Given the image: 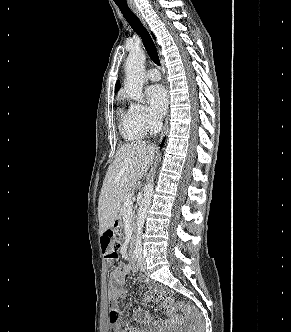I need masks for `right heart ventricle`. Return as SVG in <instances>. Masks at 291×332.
<instances>
[{
  "label": "right heart ventricle",
  "mask_w": 291,
  "mask_h": 332,
  "mask_svg": "<svg viewBox=\"0 0 291 332\" xmlns=\"http://www.w3.org/2000/svg\"><path fill=\"white\" fill-rule=\"evenodd\" d=\"M121 115V125H122V134L128 140H136L143 137L144 133L137 130L130 121L129 109L120 110Z\"/></svg>",
  "instance_id": "e07e8e85"
}]
</instances>
